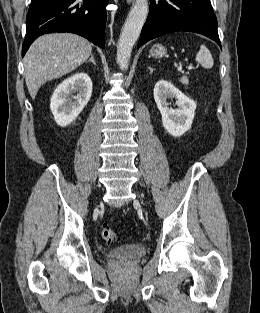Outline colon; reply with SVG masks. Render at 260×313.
I'll use <instances>...</instances> for the list:
<instances>
[{"instance_id": "colon-1", "label": "colon", "mask_w": 260, "mask_h": 313, "mask_svg": "<svg viewBox=\"0 0 260 313\" xmlns=\"http://www.w3.org/2000/svg\"><path fill=\"white\" fill-rule=\"evenodd\" d=\"M101 236L108 243H113L118 240L117 234L107 225L102 226Z\"/></svg>"}]
</instances>
